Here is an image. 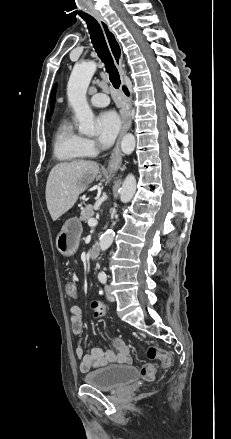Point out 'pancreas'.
Wrapping results in <instances>:
<instances>
[{
    "instance_id": "1",
    "label": "pancreas",
    "mask_w": 231,
    "mask_h": 439,
    "mask_svg": "<svg viewBox=\"0 0 231 439\" xmlns=\"http://www.w3.org/2000/svg\"><path fill=\"white\" fill-rule=\"evenodd\" d=\"M94 209L92 205H87L85 208L82 209L80 213V220L87 222L90 218L94 216Z\"/></svg>"
}]
</instances>
